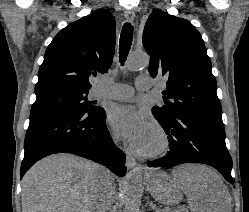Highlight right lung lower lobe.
<instances>
[{
  "mask_svg": "<svg viewBox=\"0 0 249 212\" xmlns=\"http://www.w3.org/2000/svg\"><path fill=\"white\" fill-rule=\"evenodd\" d=\"M98 108L94 114L68 109L32 110L20 179L35 162L55 153L82 156L123 176L126 156L112 141L105 124V110Z\"/></svg>",
  "mask_w": 249,
  "mask_h": 212,
  "instance_id": "98d812e1",
  "label": "right lung lower lobe"
}]
</instances>
